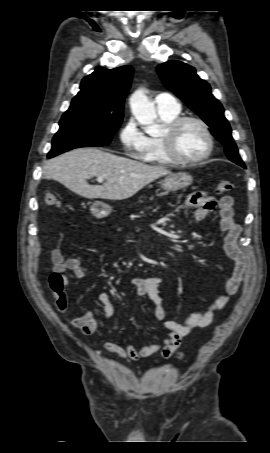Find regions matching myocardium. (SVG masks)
I'll return each instance as SVG.
<instances>
[{
    "mask_svg": "<svg viewBox=\"0 0 270 453\" xmlns=\"http://www.w3.org/2000/svg\"><path fill=\"white\" fill-rule=\"evenodd\" d=\"M188 122H193L198 124L207 140V148L206 150L198 157L196 158H183L179 154H177L174 146L175 142V137L180 130V128ZM162 149L166 156L175 164H183V165H189V164H196L199 162H202L203 160L207 159L214 148V138L213 135L210 131V128L208 124L202 120L199 117L195 116H178L175 119H173L171 122H169L163 131V134L159 137Z\"/></svg>",
    "mask_w": 270,
    "mask_h": 453,
    "instance_id": "1",
    "label": "myocardium"
}]
</instances>
